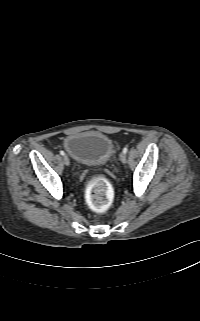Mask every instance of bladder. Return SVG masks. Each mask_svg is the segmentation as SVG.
<instances>
[{
  "label": "bladder",
  "mask_w": 200,
  "mask_h": 321,
  "mask_svg": "<svg viewBox=\"0 0 200 321\" xmlns=\"http://www.w3.org/2000/svg\"><path fill=\"white\" fill-rule=\"evenodd\" d=\"M63 146L76 162L84 165L104 164L114 151L110 137L95 130L71 133L65 138Z\"/></svg>",
  "instance_id": "obj_1"
}]
</instances>
